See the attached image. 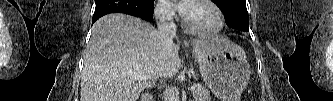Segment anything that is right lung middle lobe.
I'll use <instances>...</instances> for the list:
<instances>
[{"mask_svg": "<svg viewBox=\"0 0 333 101\" xmlns=\"http://www.w3.org/2000/svg\"><path fill=\"white\" fill-rule=\"evenodd\" d=\"M151 3H154V0H149Z\"/></svg>", "mask_w": 333, "mask_h": 101, "instance_id": "right-lung-middle-lobe-1", "label": "right lung middle lobe"}]
</instances>
